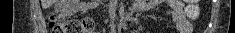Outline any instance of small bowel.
<instances>
[{"instance_id": "obj_1", "label": "small bowel", "mask_w": 235, "mask_h": 33, "mask_svg": "<svg viewBox=\"0 0 235 33\" xmlns=\"http://www.w3.org/2000/svg\"><path fill=\"white\" fill-rule=\"evenodd\" d=\"M159 2L158 0L137 1L134 4V11L144 12L153 9ZM166 14L175 24L178 33H192V26L186 17L185 5L181 0H168V10Z\"/></svg>"}]
</instances>
